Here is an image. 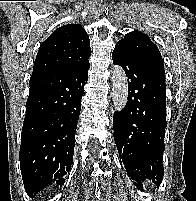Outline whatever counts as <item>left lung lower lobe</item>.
I'll return each mask as SVG.
<instances>
[{
    "mask_svg": "<svg viewBox=\"0 0 196 201\" xmlns=\"http://www.w3.org/2000/svg\"><path fill=\"white\" fill-rule=\"evenodd\" d=\"M114 64L128 77V101L113 117L114 140L120 160L134 184L162 182L166 124L165 73L142 64L121 46L112 52Z\"/></svg>",
    "mask_w": 196,
    "mask_h": 201,
    "instance_id": "left-lung-lower-lobe-1",
    "label": "left lung lower lobe"
}]
</instances>
